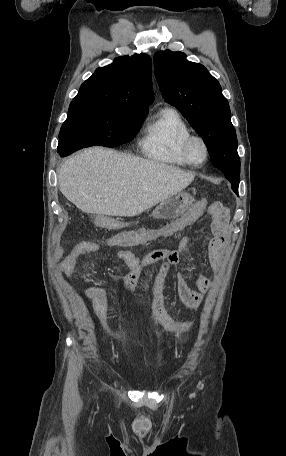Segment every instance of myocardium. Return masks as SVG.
I'll use <instances>...</instances> for the list:
<instances>
[{
    "label": "myocardium",
    "mask_w": 286,
    "mask_h": 456,
    "mask_svg": "<svg viewBox=\"0 0 286 456\" xmlns=\"http://www.w3.org/2000/svg\"><path fill=\"white\" fill-rule=\"evenodd\" d=\"M193 141H199L203 147H204V151H205V157H204V160L200 163H196L194 162L191 157H190V154H189V149H190V145ZM180 149H181V153L185 159V161L188 163V165H191L193 167H201L203 166L209 159V155H210V151H209V146H208V143L207 141L200 135H197V134H189L187 135L181 142V146H180Z\"/></svg>",
    "instance_id": "1"
}]
</instances>
